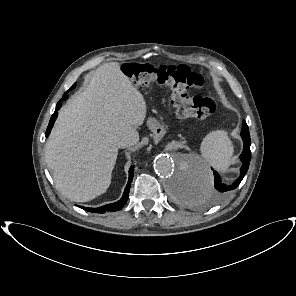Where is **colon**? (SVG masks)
I'll return each instance as SVG.
<instances>
[{
  "label": "colon",
  "instance_id": "colon-1",
  "mask_svg": "<svg viewBox=\"0 0 296 296\" xmlns=\"http://www.w3.org/2000/svg\"><path fill=\"white\" fill-rule=\"evenodd\" d=\"M123 72L136 86H147L158 83L168 86L172 91V103L179 118L204 119L215 114L218 110L215 102L209 97H191V88H201L204 78L190 70L186 65H161L130 62L124 64Z\"/></svg>",
  "mask_w": 296,
  "mask_h": 296
}]
</instances>
